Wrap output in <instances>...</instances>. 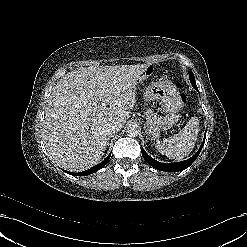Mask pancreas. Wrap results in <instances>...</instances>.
I'll list each match as a JSON object with an SVG mask.
<instances>
[{
	"label": "pancreas",
	"mask_w": 247,
	"mask_h": 247,
	"mask_svg": "<svg viewBox=\"0 0 247 247\" xmlns=\"http://www.w3.org/2000/svg\"><path fill=\"white\" fill-rule=\"evenodd\" d=\"M146 115V125L150 127H159L160 125H166L169 127L171 125L170 117H158L154 111L148 109L145 112Z\"/></svg>",
	"instance_id": "pancreas-1"
}]
</instances>
